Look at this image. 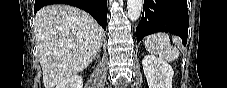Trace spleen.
Wrapping results in <instances>:
<instances>
[{
    "label": "spleen",
    "mask_w": 227,
    "mask_h": 88,
    "mask_svg": "<svg viewBox=\"0 0 227 88\" xmlns=\"http://www.w3.org/2000/svg\"><path fill=\"white\" fill-rule=\"evenodd\" d=\"M172 41L176 45L175 47L171 45L166 33H155L146 37L145 48L149 53L159 55L164 60L174 61L179 57L177 46L180 45V40L177 37H172Z\"/></svg>",
    "instance_id": "3e777b00"
}]
</instances>
